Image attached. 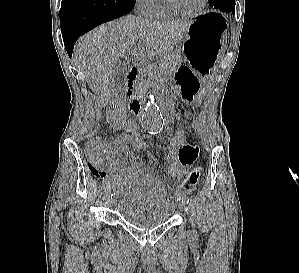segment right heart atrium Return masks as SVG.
I'll return each mask as SVG.
<instances>
[{
  "label": "right heart atrium",
  "mask_w": 299,
  "mask_h": 273,
  "mask_svg": "<svg viewBox=\"0 0 299 273\" xmlns=\"http://www.w3.org/2000/svg\"><path fill=\"white\" fill-rule=\"evenodd\" d=\"M157 1L158 0H135V4L140 12L147 14Z\"/></svg>",
  "instance_id": "1"
}]
</instances>
